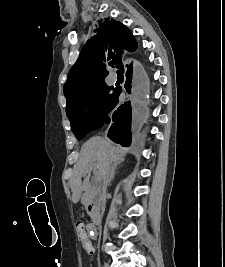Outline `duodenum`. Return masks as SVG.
I'll list each match as a JSON object with an SVG mask.
<instances>
[{
  "label": "duodenum",
  "mask_w": 225,
  "mask_h": 267,
  "mask_svg": "<svg viewBox=\"0 0 225 267\" xmlns=\"http://www.w3.org/2000/svg\"><path fill=\"white\" fill-rule=\"evenodd\" d=\"M87 205L93 224H97L101 219V214L99 212L97 202L95 200L89 201Z\"/></svg>",
  "instance_id": "410a0bca"
}]
</instances>
